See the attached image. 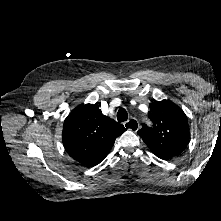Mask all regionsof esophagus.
Here are the masks:
<instances>
[{"instance_id":"obj_1","label":"esophagus","mask_w":221,"mask_h":221,"mask_svg":"<svg viewBox=\"0 0 221 221\" xmlns=\"http://www.w3.org/2000/svg\"><path fill=\"white\" fill-rule=\"evenodd\" d=\"M124 127L131 130V131L136 132L139 128V123L136 119L132 118V119L124 122Z\"/></svg>"}]
</instances>
